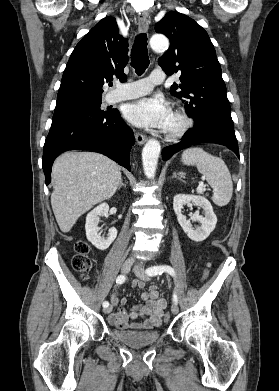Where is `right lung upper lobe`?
<instances>
[{
    "instance_id": "cb5924a9",
    "label": "right lung upper lobe",
    "mask_w": 279,
    "mask_h": 391,
    "mask_svg": "<svg viewBox=\"0 0 279 391\" xmlns=\"http://www.w3.org/2000/svg\"><path fill=\"white\" fill-rule=\"evenodd\" d=\"M127 39L119 34L113 17L100 20L76 45L64 70L58 91L56 109L98 101L102 86L123 72L129 60Z\"/></svg>"
}]
</instances>
